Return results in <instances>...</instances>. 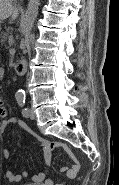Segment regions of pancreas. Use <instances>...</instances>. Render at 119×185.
I'll list each match as a JSON object with an SVG mask.
<instances>
[{"label":"pancreas","instance_id":"cf45deb5","mask_svg":"<svg viewBox=\"0 0 119 185\" xmlns=\"http://www.w3.org/2000/svg\"><path fill=\"white\" fill-rule=\"evenodd\" d=\"M10 36H11V33H10L9 31L2 33V35L0 36V38H1V43H2L3 45H5V44H6V41H7V39H8V37H10Z\"/></svg>","mask_w":119,"mask_h":185}]
</instances>
